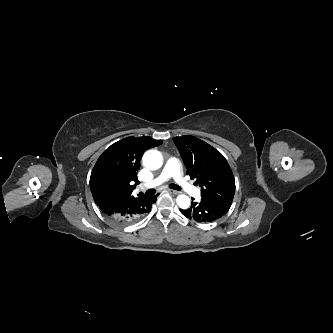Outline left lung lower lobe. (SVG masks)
I'll use <instances>...</instances> for the list:
<instances>
[{
  "mask_svg": "<svg viewBox=\"0 0 333 333\" xmlns=\"http://www.w3.org/2000/svg\"><path fill=\"white\" fill-rule=\"evenodd\" d=\"M231 205L202 198L199 202H192L188 209H180L181 213L198 222H213L225 215Z\"/></svg>",
  "mask_w": 333,
  "mask_h": 333,
  "instance_id": "left-lung-lower-lobe-1",
  "label": "left lung lower lobe"
}]
</instances>
